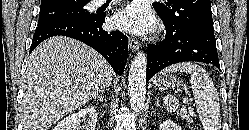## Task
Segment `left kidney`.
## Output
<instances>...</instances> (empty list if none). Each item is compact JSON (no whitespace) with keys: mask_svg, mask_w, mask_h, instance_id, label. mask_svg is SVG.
<instances>
[{"mask_svg":"<svg viewBox=\"0 0 249 130\" xmlns=\"http://www.w3.org/2000/svg\"><path fill=\"white\" fill-rule=\"evenodd\" d=\"M159 130H181V128L172 120H166L160 124Z\"/></svg>","mask_w":249,"mask_h":130,"instance_id":"left-kidney-1","label":"left kidney"}]
</instances>
